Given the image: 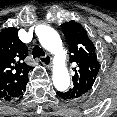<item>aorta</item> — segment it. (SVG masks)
Wrapping results in <instances>:
<instances>
[{
    "instance_id": "aorta-1",
    "label": "aorta",
    "mask_w": 117,
    "mask_h": 117,
    "mask_svg": "<svg viewBox=\"0 0 117 117\" xmlns=\"http://www.w3.org/2000/svg\"><path fill=\"white\" fill-rule=\"evenodd\" d=\"M39 42L43 48L54 55L52 80L58 91H65L70 86V75L66 67L67 52L63 47L60 35L49 26H43L38 33Z\"/></svg>"
}]
</instances>
